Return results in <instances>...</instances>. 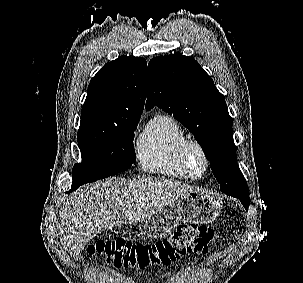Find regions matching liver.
Wrapping results in <instances>:
<instances>
[{
    "mask_svg": "<svg viewBox=\"0 0 303 283\" xmlns=\"http://www.w3.org/2000/svg\"><path fill=\"white\" fill-rule=\"evenodd\" d=\"M199 192L174 180L107 178L73 193L61 207L60 233L77 253L102 231L140 222L177 197Z\"/></svg>",
    "mask_w": 303,
    "mask_h": 283,
    "instance_id": "liver-1",
    "label": "liver"
}]
</instances>
